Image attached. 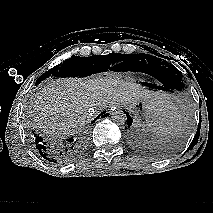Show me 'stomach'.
Wrapping results in <instances>:
<instances>
[{"instance_id":"0dacf381","label":"stomach","mask_w":213,"mask_h":213,"mask_svg":"<svg viewBox=\"0 0 213 213\" xmlns=\"http://www.w3.org/2000/svg\"><path fill=\"white\" fill-rule=\"evenodd\" d=\"M163 110L164 109L151 107L149 104L142 101L130 107V111L138 118H140V114L143 113L148 124L156 118L159 112Z\"/></svg>"}]
</instances>
